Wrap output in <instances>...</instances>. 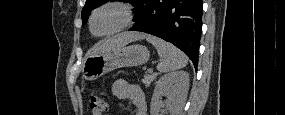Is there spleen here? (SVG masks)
Wrapping results in <instances>:
<instances>
[{
    "label": "spleen",
    "mask_w": 285,
    "mask_h": 115,
    "mask_svg": "<svg viewBox=\"0 0 285 115\" xmlns=\"http://www.w3.org/2000/svg\"><path fill=\"white\" fill-rule=\"evenodd\" d=\"M146 40L155 46L158 55L162 58V62L157 65L159 72H172L187 65L188 60L186 55L169 42L150 35L147 36Z\"/></svg>",
    "instance_id": "spleen-1"
}]
</instances>
